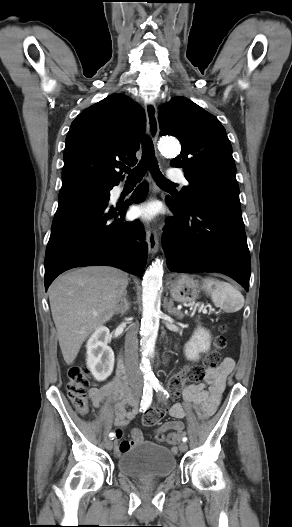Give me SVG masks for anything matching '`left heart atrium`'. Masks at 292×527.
I'll return each mask as SVG.
<instances>
[{"instance_id":"39dd6f15","label":"left heart atrium","mask_w":292,"mask_h":527,"mask_svg":"<svg viewBox=\"0 0 292 527\" xmlns=\"http://www.w3.org/2000/svg\"><path fill=\"white\" fill-rule=\"evenodd\" d=\"M135 214L137 217H140L144 220H150L155 215L154 205L144 204V205L138 206L135 210Z\"/></svg>"}]
</instances>
